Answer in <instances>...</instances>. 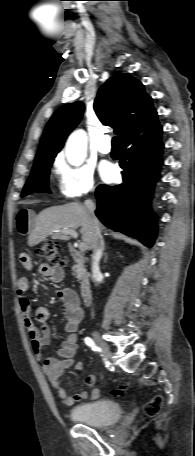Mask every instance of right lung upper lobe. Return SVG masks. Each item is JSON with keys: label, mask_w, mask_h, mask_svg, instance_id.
I'll use <instances>...</instances> for the list:
<instances>
[{"label": "right lung upper lobe", "mask_w": 195, "mask_h": 456, "mask_svg": "<svg viewBox=\"0 0 195 456\" xmlns=\"http://www.w3.org/2000/svg\"><path fill=\"white\" fill-rule=\"evenodd\" d=\"M94 110L104 125L113 127L121 136V143L142 130L159 125L152 98L145 93L143 84L125 73L115 74L99 89ZM83 111L84 105L74 102L53 114L42 136L35 164L55 158L68 134L80 122Z\"/></svg>", "instance_id": "right-lung-upper-lobe-1"}]
</instances>
